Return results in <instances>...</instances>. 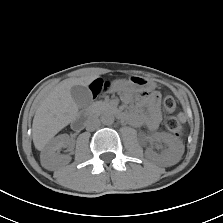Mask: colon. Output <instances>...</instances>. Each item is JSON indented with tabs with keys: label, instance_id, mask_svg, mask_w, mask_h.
<instances>
[{
	"label": "colon",
	"instance_id": "colon-1",
	"mask_svg": "<svg viewBox=\"0 0 223 223\" xmlns=\"http://www.w3.org/2000/svg\"><path fill=\"white\" fill-rule=\"evenodd\" d=\"M164 108L168 112H172L176 107L175 99L171 96H167L164 99ZM165 126L177 136L183 134V128L180 122L173 116H167L164 120Z\"/></svg>",
	"mask_w": 223,
	"mask_h": 223
}]
</instances>
